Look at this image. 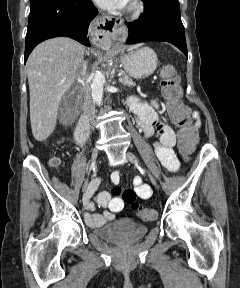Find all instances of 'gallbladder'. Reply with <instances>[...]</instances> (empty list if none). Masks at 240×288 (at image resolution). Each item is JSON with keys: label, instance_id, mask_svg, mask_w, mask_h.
Listing matches in <instances>:
<instances>
[{"label": "gallbladder", "instance_id": "1", "mask_svg": "<svg viewBox=\"0 0 240 288\" xmlns=\"http://www.w3.org/2000/svg\"><path fill=\"white\" fill-rule=\"evenodd\" d=\"M64 106H65V102L62 101V102L60 103V111H63V110H64Z\"/></svg>", "mask_w": 240, "mask_h": 288}]
</instances>
